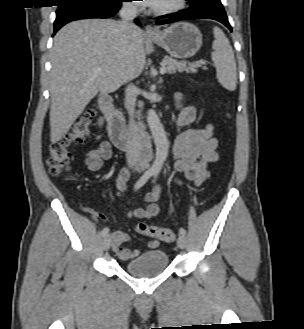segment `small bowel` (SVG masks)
I'll return each instance as SVG.
<instances>
[{"label": "small bowel", "instance_id": "c3829d8e", "mask_svg": "<svg viewBox=\"0 0 304 329\" xmlns=\"http://www.w3.org/2000/svg\"><path fill=\"white\" fill-rule=\"evenodd\" d=\"M175 98L179 102L177 125L187 126L195 120L196 109L193 106L183 105L180 93H177ZM217 145L218 141L213 135L211 126L183 131L176 138L173 145L174 168L178 172L183 173L187 180L200 185L209 177V165L218 160ZM111 155L110 143L107 141L101 142L97 148L90 150L85 156L88 170L92 172L100 170L104 160L109 159ZM142 167H146V164L143 163ZM130 173V169H124L117 176L116 187L119 193L125 190ZM158 198V191L145 195V206L128 212L127 216L134 218H151L156 216L158 214L156 206ZM130 242L131 239L125 232L121 230H113L111 232V248L122 260H130L141 254L140 250H131L124 246ZM148 247L157 249L159 241L156 239L150 240Z\"/></svg>", "mask_w": 304, "mask_h": 329}]
</instances>
